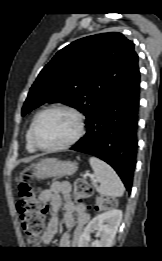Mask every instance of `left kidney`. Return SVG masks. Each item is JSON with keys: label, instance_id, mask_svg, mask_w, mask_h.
<instances>
[{"label": "left kidney", "instance_id": "obj_1", "mask_svg": "<svg viewBox=\"0 0 162 261\" xmlns=\"http://www.w3.org/2000/svg\"><path fill=\"white\" fill-rule=\"evenodd\" d=\"M122 220V211L117 209L108 210L94 217L84 228L78 240L80 248H108L112 245L116 232ZM97 231L100 240L91 242L90 234Z\"/></svg>", "mask_w": 162, "mask_h": 261}]
</instances>
